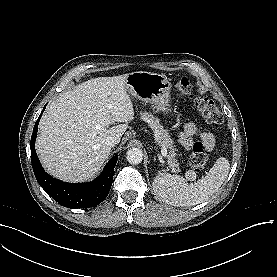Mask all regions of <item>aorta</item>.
<instances>
[{
  "label": "aorta",
  "mask_w": 277,
  "mask_h": 277,
  "mask_svg": "<svg viewBox=\"0 0 277 277\" xmlns=\"http://www.w3.org/2000/svg\"><path fill=\"white\" fill-rule=\"evenodd\" d=\"M126 159L131 164H139L143 160V151L140 148H130L126 153Z\"/></svg>",
  "instance_id": "762f6f07"
}]
</instances>
